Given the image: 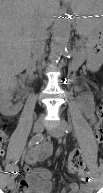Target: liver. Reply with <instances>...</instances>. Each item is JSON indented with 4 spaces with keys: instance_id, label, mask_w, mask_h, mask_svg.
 Masks as SVG:
<instances>
[{
    "instance_id": "obj_1",
    "label": "liver",
    "mask_w": 103,
    "mask_h": 193,
    "mask_svg": "<svg viewBox=\"0 0 103 193\" xmlns=\"http://www.w3.org/2000/svg\"><path fill=\"white\" fill-rule=\"evenodd\" d=\"M70 4V0H64ZM71 6V5H70ZM1 76L15 78L31 57V27L48 26L59 10V0H1Z\"/></svg>"
}]
</instances>
